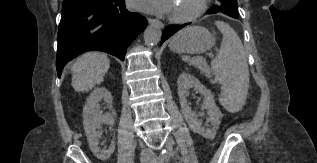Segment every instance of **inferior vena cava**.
<instances>
[{
    "label": "inferior vena cava",
    "mask_w": 317,
    "mask_h": 163,
    "mask_svg": "<svg viewBox=\"0 0 317 163\" xmlns=\"http://www.w3.org/2000/svg\"><path fill=\"white\" fill-rule=\"evenodd\" d=\"M143 154H144V155H151V152H150V151H147V150H144V151H143Z\"/></svg>",
    "instance_id": "inferior-vena-cava-1"
}]
</instances>
